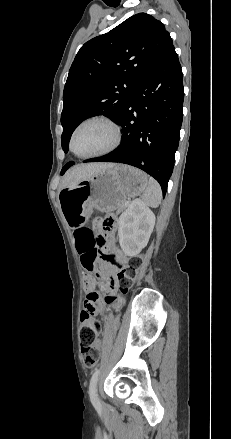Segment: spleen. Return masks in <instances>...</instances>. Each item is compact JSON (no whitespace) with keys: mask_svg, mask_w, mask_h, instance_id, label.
<instances>
[{"mask_svg":"<svg viewBox=\"0 0 231 439\" xmlns=\"http://www.w3.org/2000/svg\"><path fill=\"white\" fill-rule=\"evenodd\" d=\"M162 199V191L159 183L152 177L148 179L147 188L142 196L143 203L146 206L156 208Z\"/></svg>","mask_w":231,"mask_h":439,"instance_id":"3e777b00","label":"spleen"}]
</instances>
